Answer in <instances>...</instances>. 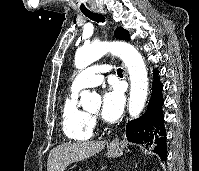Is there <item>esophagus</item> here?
Segmentation results:
<instances>
[{
    "instance_id": "1",
    "label": "esophagus",
    "mask_w": 199,
    "mask_h": 171,
    "mask_svg": "<svg viewBox=\"0 0 199 171\" xmlns=\"http://www.w3.org/2000/svg\"><path fill=\"white\" fill-rule=\"evenodd\" d=\"M102 13H104V12H102ZM124 73H125V76L127 77L128 75H127L126 69H124ZM111 144H112V145H118V144H119V140H118V139H115L114 141H112Z\"/></svg>"
}]
</instances>
